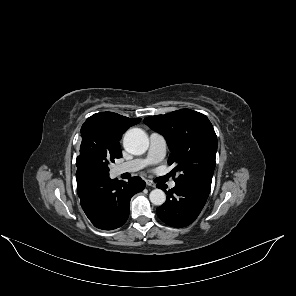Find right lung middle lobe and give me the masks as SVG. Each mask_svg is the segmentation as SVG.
Returning a JSON list of instances; mask_svg holds the SVG:
<instances>
[{"label": "right lung middle lobe", "instance_id": "dd1d6c3e", "mask_svg": "<svg viewBox=\"0 0 296 296\" xmlns=\"http://www.w3.org/2000/svg\"><path fill=\"white\" fill-rule=\"evenodd\" d=\"M121 156L119 151L103 144L82 141L80 146L79 157L93 161L97 168L106 175H109V164Z\"/></svg>", "mask_w": 296, "mask_h": 296}]
</instances>
